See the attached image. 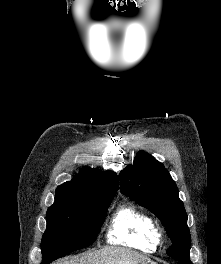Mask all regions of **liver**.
<instances>
[{
  "label": "liver",
  "instance_id": "obj_1",
  "mask_svg": "<svg viewBox=\"0 0 221 264\" xmlns=\"http://www.w3.org/2000/svg\"><path fill=\"white\" fill-rule=\"evenodd\" d=\"M150 260L145 255L122 247H106L71 259L60 260L54 264H141Z\"/></svg>",
  "mask_w": 221,
  "mask_h": 264
}]
</instances>
